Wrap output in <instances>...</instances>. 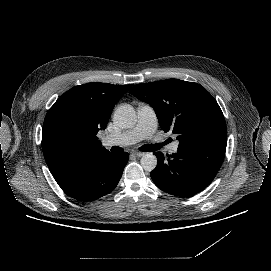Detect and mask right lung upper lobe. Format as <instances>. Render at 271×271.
Instances as JSON below:
<instances>
[{
    "label": "right lung upper lobe",
    "instance_id": "cb5924a9",
    "mask_svg": "<svg viewBox=\"0 0 271 271\" xmlns=\"http://www.w3.org/2000/svg\"><path fill=\"white\" fill-rule=\"evenodd\" d=\"M131 86L86 83L58 98L42 128V150L50 171L83 154L109 152L96 135L106 128L115 103Z\"/></svg>",
    "mask_w": 271,
    "mask_h": 271
}]
</instances>
